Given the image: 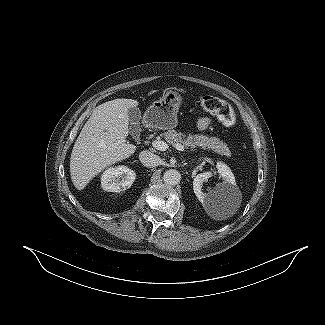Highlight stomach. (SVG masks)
I'll use <instances>...</instances> for the list:
<instances>
[{"instance_id":"0dacf381","label":"stomach","mask_w":325,"mask_h":325,"mask_svg":"<svg viewBox=\"0 0 325 325\" xmlns=\"http://www.w3.org/2000/svg\"><path fill=\"white\" fill-rule=\"evenodd\" d=\"M182 103V96L176 91H166L163 96L150 105L144 114V122L150 127L161 130L177 125V112Z\"/></svg>"}]
</instances>
